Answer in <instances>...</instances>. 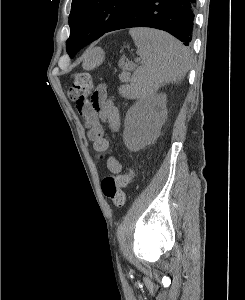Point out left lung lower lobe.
<instances>
[{"instance_id":"left-lung-lower-lobe-1","label":"left lung lower lobe","mask_w":245,"mask_h":300,"mask_svg":"<svg viewBox=\"0 0 245 300\" xmlns=\"http://www.w3.org/2000/svg\"><path fill=\"white\" fill-rule=\"evenodd\" d=\"M195 6L196 0H135L106 32L151 27L169 32L189 46L193 35ZM98 38H90L76 50L79 51Z\"/></svg>"}]
</instances>
